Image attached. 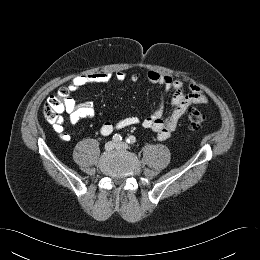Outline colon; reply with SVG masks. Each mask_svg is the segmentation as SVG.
Returning a JSON list of instances; mask_svg holds the SVG:
<instances>
[{
  "mask_svg": "<svg viewBox=\"0 0 260 260\" xmlns=\"http://www.w3.org/2000/svg\"><path fill=\"white\" fill-rule=\"evenodd\" d=\"M68 91L60 89L56 95L49 97L43 106V116L49 123L61 122V114L66 109ZM207 121V116L198 109H190L188 123L191 129L201 128Z\"/></svg>",
  "mask_w": 260,
  "mask_h": 260,
  "instance_id": "colon-1",
  "label": "colon"
}]
</instances>
